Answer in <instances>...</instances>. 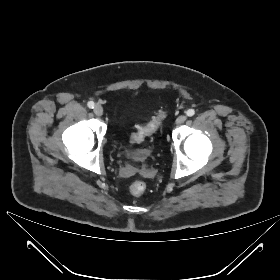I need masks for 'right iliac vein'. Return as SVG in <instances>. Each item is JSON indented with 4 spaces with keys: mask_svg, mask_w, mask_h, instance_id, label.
<instances>
[{
    "mask_svg": "<svg viewBox=\"0 0 280 280\" xmlns=\"http://www.w3.org/2000/svg\"><path fill=\"white\" fill-rule=\"evenodd\" d=\"M94 113L97 115V116H102L103 115V108L101 105H96L94 107Z\"/></svg>",
    "mask_w": 280,
    "mask_h": 280,
    "instance_id": "63e3f726",
    "label": "right iliac vein"
}]
</instances>
